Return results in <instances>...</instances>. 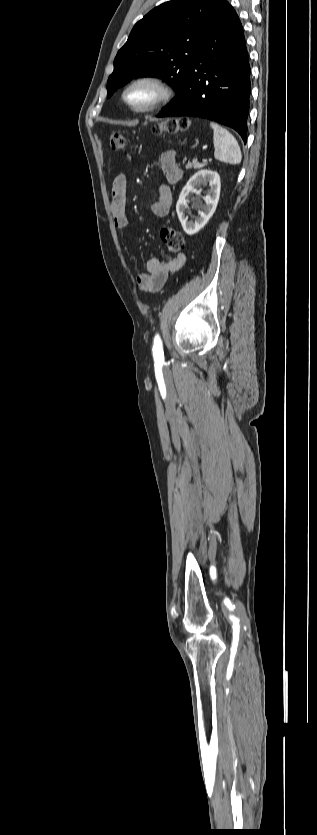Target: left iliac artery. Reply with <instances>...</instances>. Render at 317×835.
<instances>
[{
	"label": "left iliac artery",
	"instance_id": "44dca946",
	"mask_svg": "<svg viewBox=\"0 0 317 835\" xmlns=\"http://www.w3.org/2000/svg\"><path fill=\"white\" fill-rule=\"evenodd\" d=\"M152 352H153V357H154L156 362H161V361L164 360L163 346H162V341H161V338H160L159 334H156L155 337H154V344H153Z\"/></svg>",
	"mask_w": 317,
	"mask_h": 835
}]
</instances>
